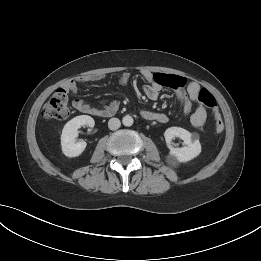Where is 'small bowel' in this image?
Wrapping results in <instances>:
<instances>
[{
  "label": "small bowel",
  "instance_id": "small-bowel-1",
  "mask_svg": "<svg viewBox=\"0 0 261 261\" xmlns=\"http://www.w3.org/2000/svg\"><path fill=\"white\" fill-rule=\"evenodd\" d=\"M142 75L149 83L143 89L145 95L149 99H157L161 90L165 86L173 88L175 90L176 96L183 106L185 114H189L193 109V104L197 103V107L190 116V122L192 126L195 128H200L205 124L207 112L205 107L199 102V92L201 88L198 84L192 82L189 83L186 88H184L187 80L181 76L152 73L150 71H143ZM103 77L104 75L100 73L90 74L83 76L79 82H95L101 80ZM129 79L130 74L128 72H124L120 76V83L122 85H126L129 82ZM65 90L73 94L77 93V81H69L65 85ZM72 105L77 111L90 115H110L117 109V104L115 102L106 104L103 109H98L91 107L82 99L73 100ZM142 116L147 120L157 121L159 123H166L168 121L166 114L149 110L142 111Z\"/></svg>",
  "mask_w": 261,
  "mask_h": 261
}]
</instances>
